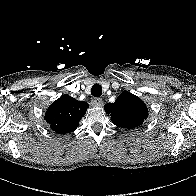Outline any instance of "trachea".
<instances>
[{"label": "trachea", "mask_w": 196, "mask_h": 196, "mask_svg": "<svg viewBox=\"0 0 196 196\" xmlns=\"http://www.w3.org/2000/svg\"><path fill=\"white\" fill-rule=\"evenodd\" d=\"M91 94L94 97H100L102 94V87L99 84H94L91 88Z\"/></svg>", "instance_id": "trachea-1"}]
</instances>
